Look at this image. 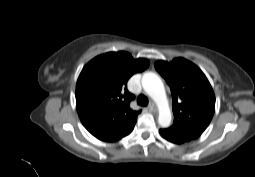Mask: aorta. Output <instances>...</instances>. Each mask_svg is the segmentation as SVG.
<instances>
[{
	"label": "aorta",
	"mask_w": 255,
	"mask_h": 177,
	"mask_svg": "<svg viewBox=\"0 0 255 177\" xmlns=\"http://www.w3.org/2000/svg\"><path fill=\"white\" fill-rule=\"evenodd\" d=\"M142 86L159 108V125L161 127H168L171 123V112L161 78L153 72H146L142 77Z\"/></svg>",
	"instance_id": "obj_1"
}]
</instances>
